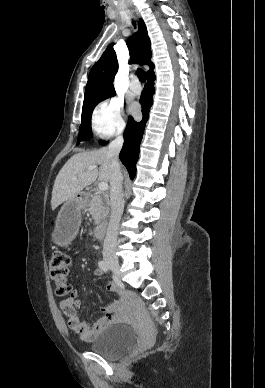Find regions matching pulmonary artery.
Segmentation results:
<instances>
[{
    "label": "pulmonary artery",
    "mask_w": 265,
    "mask_h": 388,
    "mask_svg": "<svg viewBox=\"0 0 265 388\" xmlns=\"http://www.w3.org/2000/svg\"><path fill=\"white\" fill-rule=\"evenodd\" d=\"M129 90H134V94L138 95L141 92V85L139 82V77L137 75H132L130 77V82L128 85Z\"/></svg>",
    "instance_id": "1"
}]
</instances>
